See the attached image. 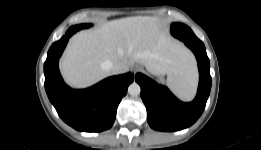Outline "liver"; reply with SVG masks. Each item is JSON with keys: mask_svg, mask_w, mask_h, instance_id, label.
I'll return each instance as SVG.
<instances>
[{"mask_svg": "<svg viewBox=\"0 0 261 150\" xmlns=\"http://www.w3.org/2000/svg\"><path fill=\"white\" fill-rule=\"evenodd\" d=\"M108 62H123L128 69L139 63L168 76H180L193 65L189 51L171 39L157 18L135 16L77 33L62 57L61 71L68 84L83 88L111 74Z\"/></svg>", "mask_w": 261, "mask_h": 150, "instance_id": "1", "label": "liver"}]
</instances>
